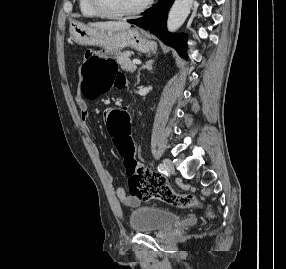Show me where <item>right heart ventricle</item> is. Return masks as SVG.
I'll return each instance as SVG.
<instances>
[{
  "label": "right heart ventricle",
  "mask_w": 286,
  "mask_h": 269,
  "mask_svg": "<svg viewBox=\"0 0 286 269\" xmlns=\"http://www.w3.org/2000/svg\"><path fill=\"white\" fill-rule=\"evenodd\" d=\"M79 10L82 16L88 18H97L100 17L98 13L92 7L90 0H79Z\"/></svg>",
  "instance_id": "e07e8e85"
}]
</instances>
